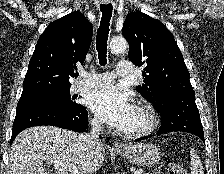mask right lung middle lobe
<instances>
[{"instance_id": "dd1d6c3e", "label": "right lung middle lobe", "mask_w": 224, "mask_h": 174, "mask_svg": "<svg viewBox=\"0 0 224 174\" xmlns=\"http://www.w3.org/2000/svg\"><path fill=\"white\" fill-rule=\"evenodd\" d=\"M29 98H44L58 103L59 105L70 108L78 103L70 96V86H46L39 90L22 94L20 100Z\"/></svg>"}]
</instances>
